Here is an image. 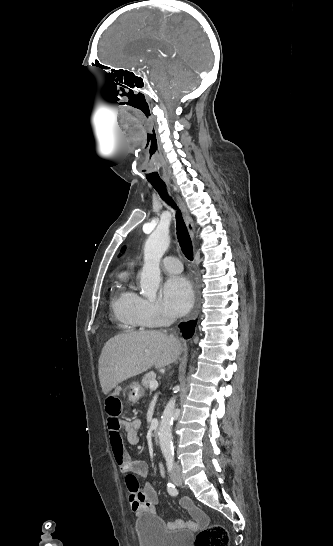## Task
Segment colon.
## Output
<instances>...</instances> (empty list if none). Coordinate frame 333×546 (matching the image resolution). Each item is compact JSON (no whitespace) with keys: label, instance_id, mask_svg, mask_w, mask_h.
I'll return each mask as SVG.
<instances>
[{"label":"colon","instance_id":"5ec220e1","mask_svg":"<svg viewBox=\"0 0 333 546\" xmlns=\"http://www.w3.org/2000/svg\"><path fill=\"white\" fill-rule=\"evenodd\" d=\"M123 399L121 396L110 395L105 402L108 418H119L122 410ZM229 536L227 530L221 525H211L202 529L195 538L194 546H228Z\"/></svg>","mask_w":333,"mask_h":546}]
</instances>
